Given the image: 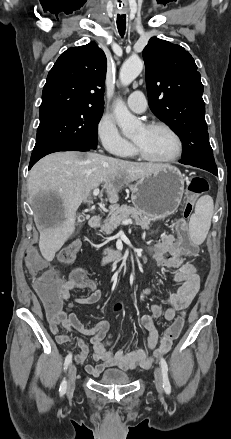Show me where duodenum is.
Here are the masks:
<instances>
[{
	"label": "duodenum",
	"mask_w": 231,
	"mask_h": 439,
	"mask_svg": "<svg viewBox=\"0 0 231 439\" xmlns=\"http://www.w3.org/2000/svg\"><path fill=\"white\" fill-rule=\"evenodd\" d=\"M102 224V218L98 215L92 216L89 220V226L91 228H98ZM125 256V252L119 249H111L109 250L105 256L103 257L102 264H107L113 261H117L122 259Z\"/></svg>",
	"instance_id": "1"
}]
</instances>
